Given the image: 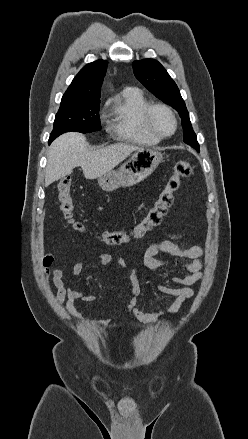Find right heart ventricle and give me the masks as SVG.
Instances as JSON below:
<instances>
[{
	"label": "right heart ventricle",
	"instance_id": "right-heart-ventricle-1",
	"mask_svg": "<svg viewBox=\"0 0 248 439\" xmlns=\"http://www.w3.org/2000/svg\"><path fill=\"white\" fill-rule=\"evenodd\" d=\"M150 104L144 93L136 88L124 90L115 99L109 112L108 126L119 140L142 146H153L161 139L145 125L144 111Z\"/></svg>",
	"mask_w": 248,
	"mask_h": 439
}]
</instances>
